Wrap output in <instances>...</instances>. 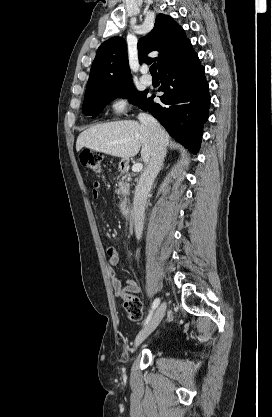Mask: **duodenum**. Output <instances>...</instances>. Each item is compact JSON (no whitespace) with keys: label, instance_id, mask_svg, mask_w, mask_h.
<instances>
[{"label":"duodenum","instance_id":"410a0bca","mask_svg":"<svg viewBox=\"0 0 272 417\" xmlns=\"http://www.w3.org/2000/svg\"><path fill=\"white\" fill-rule=\"evenodd\" d=\"M122 171H126L127 170V165L124 164L121 167ZM120 211L122 213V215L125 218H129L130 214H131V202L130 199L128 197H126L125 199H123L119 205Z\"/></svg>","mask_w":272,"mask_h":417}]
</instances>
